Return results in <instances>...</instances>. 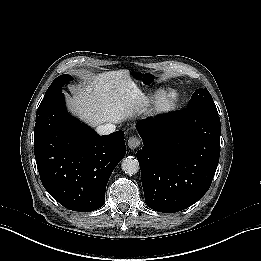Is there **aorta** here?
Segmentation results:
<instances>
[{
	"label": "aorta",
	"instance_id": "1",
	"mask_svg": "<svg viewBox=\"0 0 261 261\" xmlns=\"http://www.w3.org/2000/svg\"><path fill=\"white\" fill-rule=\"evenodd\" d=\"M121 168L127 175H135L139 172V162L136 158L128 156L122 160Z\"/></svg>",
	"mask_w": 261,
	"mask_h": 261
}]
</instances>
